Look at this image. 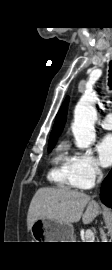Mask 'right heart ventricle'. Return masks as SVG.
Returning <instances> with one entry per match:
<instances>
[{"instance_id": "obj_1", "label": "right heart ventricle", "mask_w": 112, "mask_h": 270, "mask_svg": "<svg viewBox=\"0 0 112 270\" xmlns=\"http://www.w3.org/2000/svg\"><path fill=\"white\" fill-rule=\"evenodd\" d=\"M48 179L62 188H77L71 169V157L60 150L52 158Z\"/></svg>"}]
</instances>
